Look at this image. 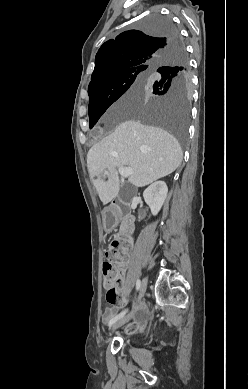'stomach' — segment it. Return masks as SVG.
I'll return each instance as SVG.
<instances>
[{
	"label": "stomach",
	"instance_id": "0dacf381",
	"mask_svg": "<svg viewBox=\"0 0 248 389\" xmlns=\"http://www.w3.org/2000/svg\"><path fill=\"white\" fill-rule=\"evenodd\" d=\"M105 220H114V213H105Z\"/></svg>",
	"mask_w": 248,
	"mask_h": 389
}]
</instances>
